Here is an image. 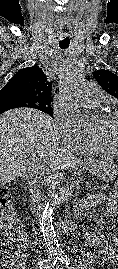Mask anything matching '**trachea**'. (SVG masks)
Segmentation results:
<instances>
[{
	"label": "trachea",
	"mask_w": 118,
	"mask_h": 269,
	"mask_svg": "<svg viewBox=\"0 0 118 269\" xmlns=\"http://www.w3.org/2000/svg\"><path fill=\"white\" fill-rule=\"evenodd\" d=\"M69 44H70V39H63L59 42V47L61 49H65V48H68L69 47Z\"/></svg>",
	"instance_id": "1"
}]
</instances>
